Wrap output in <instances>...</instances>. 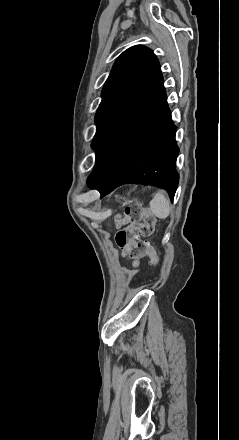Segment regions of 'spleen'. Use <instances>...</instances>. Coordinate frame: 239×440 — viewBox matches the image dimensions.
I'll list each match as a JSON object with an SVG mask.
<instances>
[{"label": "spleen", "mask_w": 239, "mask_h": 440, "mask_svg": "<svg viewBox=\"0 0 239 440\" xmlns=\"http://www.w3.org/2000/svg\"><path fill=\"white\" fill-rule=\"evenodd\" d=\"M150 208L154 216L161 218V220H165V218L169 216L170 202L166 198L165 190H158V192L154 194V198L150 202Z\"/></svg>", "instance_id": "1"}]
</instances>
